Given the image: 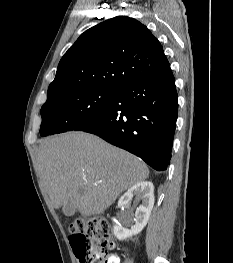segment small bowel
<instances>
[{
	"mask_svg": "<svg viewBox=\"0 0 233 263\" xmlns=\"http://www.w3.org/2000/svg\"><path fill=\"white\" fill-rule=\"evenodd\" d=\"M105 263H120V259L116 254H110L107 256Z\"/></svg>",
	"mask_w": 233,
	"mask_h": 263,
	"instance_id": "small-bowel-1",
	"label": "small bowel"
}]
</instances>
